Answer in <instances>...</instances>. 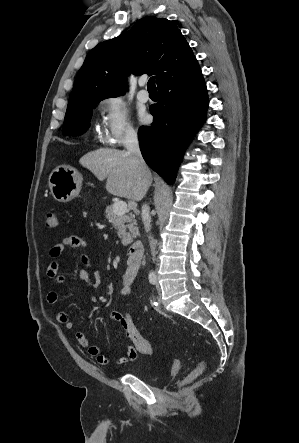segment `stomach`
<instances>
[{
    "instance_id": "obj_1",
    "label": "stomach",
    "mask_w": 299,
    "mask_h": 443,
    "mask_svg": "<svg viewBox=\"0 0 299 443\" xmlns=\"http://www.w3.org/2000/svg\"><path fill=\"white\" fill-rule=\"evenodd\" d=\"M82 175L71 166H58L49 176V188L53 198L67 203L78 196L82 186Z\"/></svg>"
}]
</instances>
